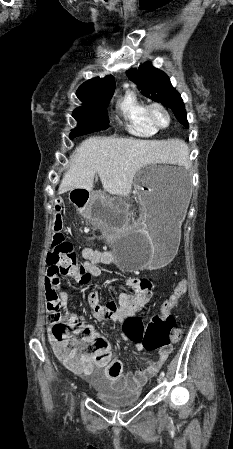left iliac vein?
I'll list each match as a JSON object with an SVG mask.
<instances>
[{
    "label": "left iliac vein",
    "mask_w": 233,
    "mask_h": 449,
    "mask_svg": "<svg viewBox=\"0 0 233 449\" xmlns=\"http://www.w3.org/2000/svg\"><path fill=\"white\" fill-rule=\"evenodd\" d=\"M162 380H163V377H162L161 375H159L158 378H157V382H158V383H161Z\"/></svg>",
    "instance_id": "4c4485c4"
}]
</instances>
